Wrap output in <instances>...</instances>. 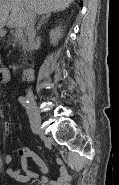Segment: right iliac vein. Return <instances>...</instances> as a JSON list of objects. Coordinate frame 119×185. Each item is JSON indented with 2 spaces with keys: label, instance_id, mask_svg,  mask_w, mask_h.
<instances>
[{
  "label": "right iliac vein",
  "instance_id": "right-iliac-vein-1",
  "mask_svg": "<svg viewBox=\"0 0 119 185\" xmlns=\"http://www.w3.org/2000/svg\"><path fill=\"white\" fill-rule=\"evenodd\" d=\"M29 104H30V107L32 109V113H37L36 124H33V125L36 126L37 131L40 134V136L42 138H45L44 130L41 127V115H40V112H39V110H38V108L36 106V103H35V101L33 99H30V103Z\"/></svg>",
  "mask_w": 119,
  "mask_h": 185
}]
</instances>
